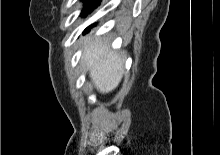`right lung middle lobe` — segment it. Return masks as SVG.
I'll return each instance as SVG.
<instances>
[{"label": "right lung middle lobe", "instance_id": "right-lung-middle-lobe-1", "mask_svg": "<svg viewBox=\"0 0 220 155\" xmlns=\"http://www.w3.org/2000/svg\"><path fill=\"white\" fill-rule=\"evenodd\" d=\"M99 4L100 0H86L81 16L85 17L88 13H91L93 9L97 8Z\"/></svg>", "mask_w": 220, "mask_h": 155}]
</instances>
